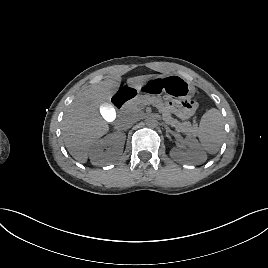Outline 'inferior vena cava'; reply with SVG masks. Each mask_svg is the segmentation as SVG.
Listing matches in <instances>:
<instances>
[{
    "label": "inferior vena cava",
    "mask_w": 268,
    "mask_h": 268,
    "mask_svg": "<svg viewBox=\"0 0 268 268\" xmlns=\"http://www.w3.org/2000/svg\"><path fill=\"white\" fill-rule=\"evenodd\" d=\"M136 122V117L132 114L124 116L118 123L120 129L125 130L130 127Z\"/></svg>",
    "instance_id": "inferior-vena-cava-1"
}]
</instances>
